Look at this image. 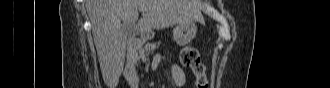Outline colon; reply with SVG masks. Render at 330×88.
<instances>
[{
    "label": "colon",
    "instance_id": "1",
    "mask_svg": "<svg viewBox=\"0 0 330 88\" xmlns=\"http://www.w3.org/2000/svg\"><path fill=\"white\" fill-rule=\"evenodd\" d=\"M181 63L189 69L196 78V88H208L205 65L200 59L198 50L194 47H185L181 52Z\"/></svg>",
    "mask_w": 330,
    "mask_h": 88
}]
</instances>
